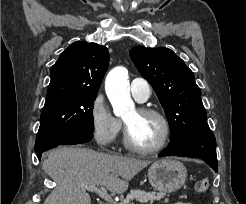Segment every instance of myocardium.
<instances>
[{
  "label": "myocardium",
  "instance_id": "1",
  "mask_svg": "<svg viewBox=\"0 0 246 204\" xmlns=\"http://www.w3.org/2000/svg\"><path fill=\"white\" fill-rule=\"evenodd\" d=\"M142 115H153L160 119L163 124V135L158 144L152 147H141L133 143L130 137L129 129L127 124L124 122V145L131 151L138 154H154L161 151L168 143L171 136V124L167 116L158 109L150 107H142L137 109Z\"/></svg>",
  "mask_w": 246,
  "mask_h": 204
}]
</instances>
